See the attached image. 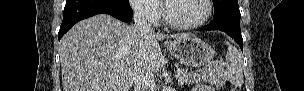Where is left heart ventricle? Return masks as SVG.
<instances>
[{
  "label": "left heart ventricle",
  "mask_w": 304,
  "mask_h": 91,
  "mask_svg": "<svg viewBox=\"0 0 304 91\" xmlns=\"http://www.w3.org/2000/svg\"><path fill=\"white\" fill-rule=\"evenodd\" d=\"M168 7L172 19L180 23H194L205 14L202 0H176L169 2Z\"/></svg>",
  "instance_id": "b2bd125f"
}]
</instances>
